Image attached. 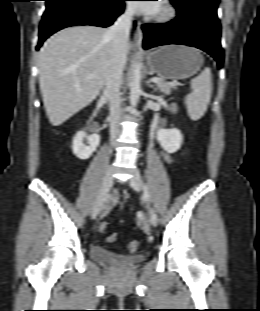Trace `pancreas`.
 <instances>
[{
	"instance_id": "1",
	"label": "pancreas",
	"mask_w": 260,
	"mask_h": 311,
	"mask_svg": "<svg viewBox=\"0 0 260 311\" xmlns=\"http://www.w3.org/2000/svg\"><path fill=\"white\" fill-rule=\"evenodd\" d=\"M158 79H159V82L156 83L157 88L164 94H167V95L171 94L172 89H175V84L168 83L164 81L163 78H158Z\"/></svg>"
}]
</instances>
